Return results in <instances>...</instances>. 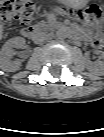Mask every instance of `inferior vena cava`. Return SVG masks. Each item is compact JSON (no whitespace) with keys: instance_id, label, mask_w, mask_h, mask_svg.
I'll use <instances>...</instances> for the list:
<instances>
[{"instance_id":"602c4592","label":"inferior vena cava","mask_w":104,"mask_h":137,"mask_svg":"<svg viewBox=\"0 0 104 137\" xmlns=\"http://www.w3.org/2000/svg\"><path fill=\"white\" fill-rule=\"evenodd\" d=\"M47 34L45 32H37L35 35H34V42L37 43V44H40L41 42H43L46 38H47Z\"/></svg>"}]
</instances>
